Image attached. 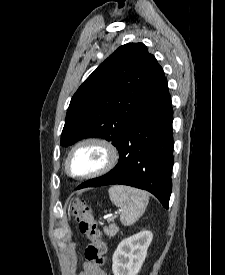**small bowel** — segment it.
Returning <instances> with one entry per match:
<instances>
[{"label":"small bowel","mask_w":225,"mask_h":275,"mask_svg":"<svg viewBox=\"0 0 225 275\" xmlns=\"http://www.w3.org/2000/svg\"><path fill=\"white\" fill-rule=\"evenodd\" d=\"M78 275H106V273L92 262H86Z\"/></svg>","instance_id":"c3829d8e"}]
</instances>
